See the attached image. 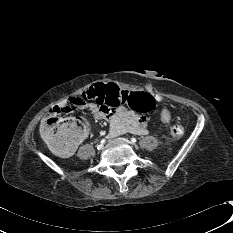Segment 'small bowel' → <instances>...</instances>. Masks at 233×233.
Returning <instances> with one entry per match:
<instances>
[{
    "label": "small bowel",
    "mask_w": 233,
    "mask_h": 233,
    "mask_svg": "<svg viewBox=\"0 0 233 233\" xmlns=\"http://www.w3.org/2000/svg\"><path fill=\"white\" fill-rule=\"evenodd\" d=\"M151 95L156 102L163 100V97L160 95ZM64 106H71L72 108L80 110H90L96 119L108 121L110 132L113 136L124 133H132L139 136H146L149 134L146 118L128 107L121 106L115 108L112 105L107 106L102 103L93 106L89 101L84 100L82 97L70 98L68 103L61 107ZM75 147L76 145L74 146L73 151L75 150Z\"/></svg>",
    "instance_id": "c3829d8e"
}]
</instances>
